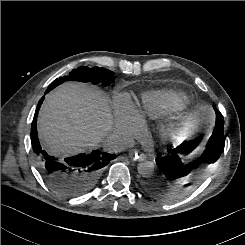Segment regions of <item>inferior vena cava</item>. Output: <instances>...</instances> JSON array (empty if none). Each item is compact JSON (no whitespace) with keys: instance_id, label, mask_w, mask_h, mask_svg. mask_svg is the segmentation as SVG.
<instances>
[{"instance_id":"inferior-vena-cava-1","label":"inferior vena cava","mask_w":245,"mask_h":245,"mask_svg":"<svg viewBox=\"0 0 245 245\" xmlns=\"http://www.w3.org/2000/svg\"><path fill=\"white\" fill-rule=\"evenodd\" d=\"M133 141L126 137L108 136L103 142L104 148L108 151L119 152L133 145Z\"/></svg>"}]
</instances>
